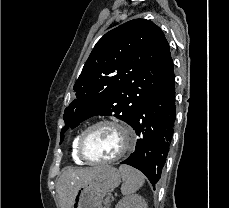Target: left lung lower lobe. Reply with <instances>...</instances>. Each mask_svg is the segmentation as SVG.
<instances>
[{"label": "left lung lower lobe", "mask_w": 229, "mask_h": 208, "mask_svg": "<svg viewBox=\"0 0 229 208\" xmlns=\"http://www.w3.org/2000/svg\"><path fill=\"white\" fill-rule=\"evenodd\" d=\"M175 122V81L153 94L129 124L139 136L136 148L121 162L143 172L152 185L161 178Z\"/></svg>", "instance_id": "1"}]
</instances>
